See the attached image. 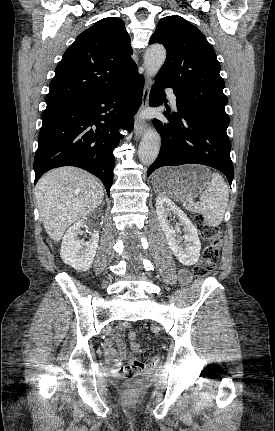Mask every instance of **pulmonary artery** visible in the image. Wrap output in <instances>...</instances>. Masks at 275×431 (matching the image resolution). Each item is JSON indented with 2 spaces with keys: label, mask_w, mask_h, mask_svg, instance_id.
Listing matches in <instances>:
<instances>
[{
  "label": "pulmonary artery",
  "mask_w": 275,
  "mask_h": 431,
  "mask_svg": "<svg viewBox=\"0 0 275 431\" xmlns=\"http://www.w3.org/2000/svg\"><path fill=\"white\" fill-rule=\"evenodd\" d=\"M167 92H168V96H169L171 105L173 106V108H176V96L174 95V93L170 89Z\"/></svg>",
  "instance_id": "obj_1"
}]
</instances>
